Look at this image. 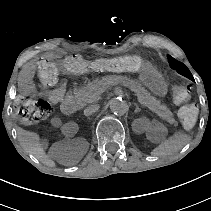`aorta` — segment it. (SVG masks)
<instances>
[{
	"label": "aorta",
	"instance_id": "obj_1",
	"mask_svg": "<svg viewBox=\"0 0 211 211\" xmlns=\"http://www.w3.org/2000/svg\"><path fill=\"white\" fill-rule=\"evenodd\" d=\"M128 109V104L122 99L113 98L110 101V110L116 115H124Z\"/></svg>",
	"mask_w": 211,
	"mask_h": 211
}]
</instances>
